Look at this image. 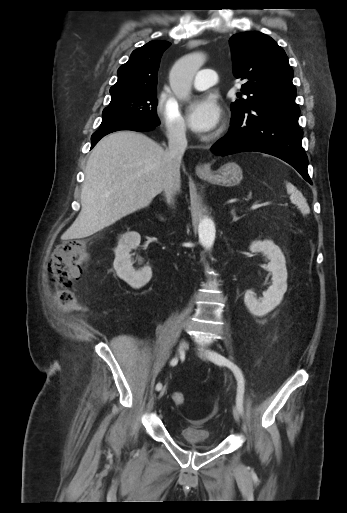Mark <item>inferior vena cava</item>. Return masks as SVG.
I'll return each mask as SVG.
<instances>
[{"instance_id":"1","label":"inferior vena cava","mask_w":347,"mask_h":513,"mask_svg":"<svg viewBox=\"0 0 347 513\" xmlns=\"http://www.w3.org/2000/svg\"><path fill=\"white\" fill-rule=\"evenodd\" d=\"M168 165L174 175H180V165L184 152L187 148L186 130L184 127H176L169 131L168 135ZM167 203L171 204L175 195V188L172 183L163 188Z\"/></svg>"}]
</instances>
